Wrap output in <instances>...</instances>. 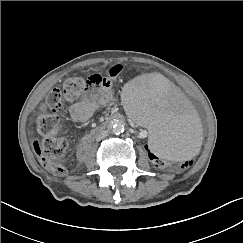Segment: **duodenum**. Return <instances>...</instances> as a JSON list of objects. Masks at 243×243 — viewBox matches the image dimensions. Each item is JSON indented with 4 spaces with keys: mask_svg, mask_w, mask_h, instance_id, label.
Here are the masks:
<instances>
[{
    "mask_svg": "<svg viewBox=\"0 0 243 243\" xmlns=\"http://www.w3.org/2000/svg\"><path fill=\"white\" fill-rule=\"evenodd\" d=\"M122 119H123L122 115L115 114L111 117V119L108 121V123L118 122V121H121ZM108 123H106L103 127L105 128L108 125ZM89 147H90V141L84 140L78 148L79 157L84 158L87 155Z\"/></svg>",
    "mask_w": 243,
    "mask_h": 243,
    "instance_id": "410a0bca",
    "label": "duodenum"
}]
</instances>
